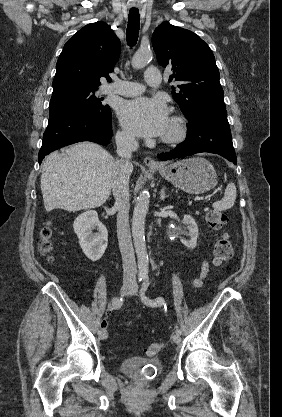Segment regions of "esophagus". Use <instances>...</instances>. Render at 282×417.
I'll use <instances>...</instances> for the list:
<instances>
[{
	"instance_id": "obj_1",
	"label": "esophagus",
	"mask_w": 282,
	"mask_h": 417,
	"mask_svg": "<svg viewBox=\"0 0 282 417\" xmlns=\"http://www.w3.org/2000/svg\"><path fill=\"white\" fill-rule=\"evenodd\" d=\"M144 162L148 167H159V164L155 162V160H153L151 157H145Z\"/></svg>"
}]
</instances>
